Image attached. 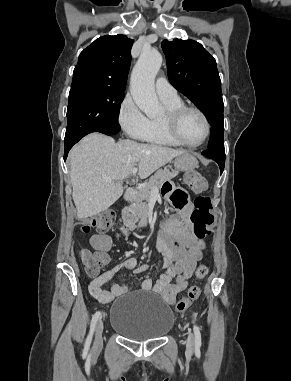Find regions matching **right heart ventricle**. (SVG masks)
I'll return each instance as SVG.
<instances>
[{"label":"right heart ventricle","instance_id":"1","mask_svg":"<svg viewBox=\"0 0 291 381\" xmlns=\"http://www.w3.org/2000/svg\"><path fill=\"white\" fill-rule=\"evenodd\" d=\"M161 100L166 110L173 109L183 105V102L181 101L179 97L173 100H166V99H161ZM162 117L163 116L150 117L148 119L147 130L144 136L142 137V141L150 143V144L161 145V146H173V147L180 146L166 132Z\"/></svg>","mask_w":291,"mask_h":381}]
</instances>
